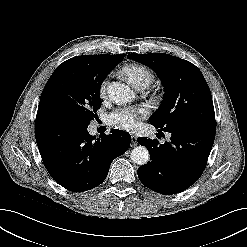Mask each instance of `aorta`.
Returning a JSON list of instances; mask_svg holds the SVG:
<instances>
[{
    "label": "aorta",
    "mask_w": 247,
    "mask_h": 247,
    "mask_svg": "<svg viewBox=\"0 0 247 247\" xmlns=\"http://www.w3.org/2000/svg\"><path fill=\"white\" fill-rule=\"evenodd\" d=\"M109 98L118 104L130 102L135 93L124 83L112 82L107 87ZM131 160L137 165H145L150 159L149 151L144 146H137L131 151Z\"/></svg>",
    "instance_id": "aorta-1"
}]
</instances>
